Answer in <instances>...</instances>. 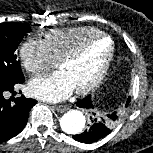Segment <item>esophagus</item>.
Instances as JSON below:
<instances>
[{
	"label": "esophagus",
	"instance_id": "esophagus-1",
	"mask_svg": "<svg viewBox=\"0 0 153 153\" xmlns=\"http://www.w3.org/2000/svg\"><path fill=\"white\" fill-rule=\"evenodd\" d=\"M52 108L58 112H64L67 110V106L66 105H54L52 106Z\"/></svg>",
	"mask_w": 153,
	"mask_h": 153
}]
</instances>
